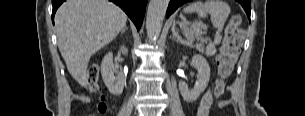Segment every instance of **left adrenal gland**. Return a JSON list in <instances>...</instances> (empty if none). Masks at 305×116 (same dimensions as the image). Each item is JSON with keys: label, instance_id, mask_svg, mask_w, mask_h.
Here are the masks:
<instances>
[{"label": "left adrenal gland", "instance_id": "1", "mask_svg": "<svg viewBox=\"0 0 305 116\" xmlns=\"http://www.w3.org/2000/svg\"><path fill=\"white\" fill-rule=\"evenodd\" d=\"M175 37L177 38V42L179 41V37L177 35V33H175V31L173 30V36H172V39L175 40Z\"/></svg>", "mask_w": 305, "mask_h": 116}]
</instances>
